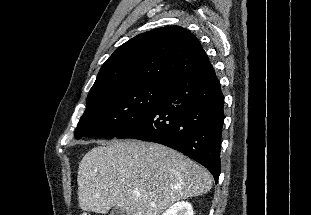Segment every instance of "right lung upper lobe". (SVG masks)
<instances>
[{
  "label": "right lung upper lobe",
  "instance_id": "right-lung-upper-lobe-1",
  "mask_svg": "<svg viewBox=\"0 0 311 215\" xmlns=\"http://www.w3.org/2000/svg\"><path fill=\"white\" fill-rule=\"evenodd\" d=\"M210 64L198 39L181 26H166L135 36L105 61L88 95L143 83L167 84Z\"/></svg>",
  "mask_w": 311,
  "mask_h": 215
}]
</instances>
